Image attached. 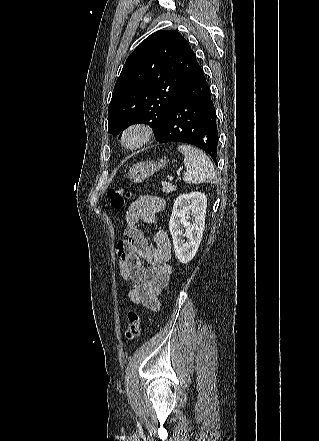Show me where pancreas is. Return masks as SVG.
Segmentation results:
<instances>
[{"label": "pancreas", "instance_id": "cf45deb5", "mask_svg": "<svg viewBox=\"0 0 319 441\" xmlns=\"http://www.w3.org/2000/svg\"><path fill=\"white\" fill-rule=\"evenodd\" d=\"M161 185H162V191L164 193H172V192L176 191V186L172 185L169 182H162Z\"/></svg>", "mask_w": 319, "mask_h": 441}]
</instances>
